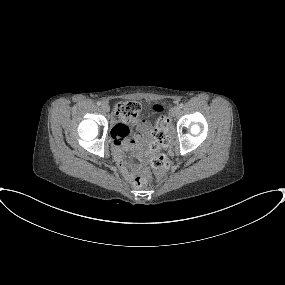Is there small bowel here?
Masks as SVG:
<instances>
[{"label": "small bowel", "mask_w": 285, "mask_h": 285, "mask_svg": "<svg viewBox=\"0 0 285 285\" xmlns=\"http://www.w3.org/2000/svg\"><path fill=\"white\" fill-rule=\"evenodd\" d=\"M131 122L136 127V130L130 138H128V121L123 118L113 127L111 132L113 140L112 152L127 181H132L134 172L129 169V163L123 158V151L127 148L139 149L143 145L150 130L149 122L142 118L137 117Z\"/></svg>", "instance_id": "obj_1"}]
</instances>
